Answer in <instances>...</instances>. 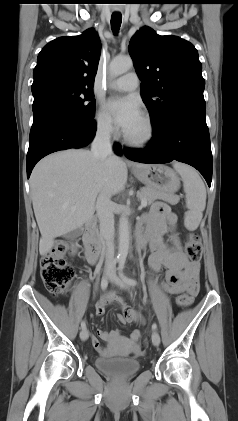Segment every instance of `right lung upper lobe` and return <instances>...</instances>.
Returning a JSON list of instances; mask_svg holds the SVG:
<instances>
[{
    "label": "right lung upper lobe",
    "instance_id": "cb5924a9",
    "mask_svg": "<svg viewBox=\"0 0 238 421\" xmlns=\"http://www.w3.org/2000/svg\"><path fill=\"white\" fill-rule=\"evenodd\" d=\"M100 53L101 42L94 29L79 36L57 38L38 54L32 86L60 82L92 89Z\"/></svg>",
    "mask_w": 238,
    "mask_h": 421
}]
</instances>
